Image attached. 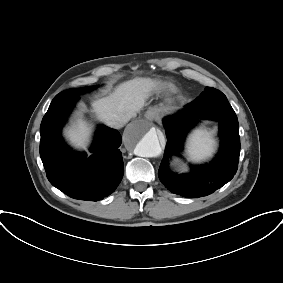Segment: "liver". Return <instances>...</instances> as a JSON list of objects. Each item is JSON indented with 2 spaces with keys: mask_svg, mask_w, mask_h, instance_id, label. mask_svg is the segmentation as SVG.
<instances>
[{
  "mask_svg": "<svg viewBox=\"0 0 283 283\" xmlns=\"http://www.w3.org/2000/svg\"><path fill=\"white\" fill-rule=\"evenodd\" d=\"M155 82L148 78H135L120 84L108 97L98 99L92 103L97 116L108 124L109 121H123L127 123L144 107ZM90 135V127L82 119L66 131L70 142L85 149Z\"/></svg>",
  "mask_w": 283,
  "mask_h": 283,
  "instance_id": "6515ba94",
  "label": "liver"
}]
</instances>
